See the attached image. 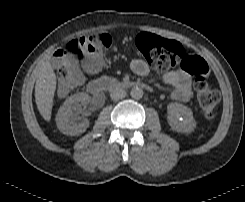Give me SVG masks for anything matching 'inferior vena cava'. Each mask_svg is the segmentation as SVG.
<instances>
[{"label":"inferior vena cava","mask_w":245,"mask_h":202,"mask_svg":"<svg viewBox=\"0 0 245 202\" xmlns=\"http://www.w3.org/2000/svg\"><path fill=\"white\" fill-rule=\"evenodd\" d=\"M126 91L123 88L117 87L113 89L110 93L112 100H120L126 96Z\"/></svg>","instance_id":"602c4592"}]
</instances>
